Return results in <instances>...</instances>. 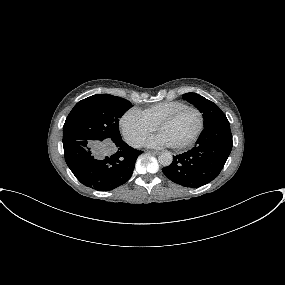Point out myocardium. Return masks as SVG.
Returning <instances> with one entry per match:
<instances>
[{"mask_svg":"<svg viewBox=\"0 0 285 285\" xmlns=\"http://www.w3.org/2000/svg\"><path fill=\"white\" fill-rule=\"evenodd\" d=\"M187 109L194 110L198 114V116H199V127H198L197 131L195 132V134L189 140H187L186 142H184L181 145L171 146L175 150H182V149L188 148L198 140V138L202 134V132L204 130V126H205V118H204L203 112L196 106L185 105V106H182V107L176 109L175 111L170 113L168 116L163 118L155 127L156 131H159V129L161 127L170 124L182 111L187 110Z\"/></svg>","mask_w":285,"mask_h":285,"instance_id":"myocardium-1","label":"myocardium"}]
</instances>
